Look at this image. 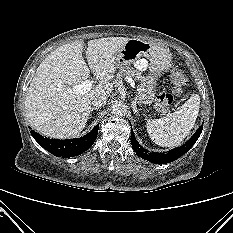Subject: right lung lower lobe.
<instances>
[{
    "mask_svg": "<svg viewBox=\"0 0 233 233\" xmlns=\"http://www.w3.org/2000/svg\"><path fill=\"white\" fill-rule=\"evenodd\" d=\"M99 126L96 125L91 132L80 138L73 139H50L31 130L34 139L47 151L57 157H73L88 150L97 138Z\"/></svg>",
    "mask_w": 233,
    "mask_h": 233,
    "instance_id": "98d812e1",
    "label": "right lung lower lobe"
}]
</instances>
